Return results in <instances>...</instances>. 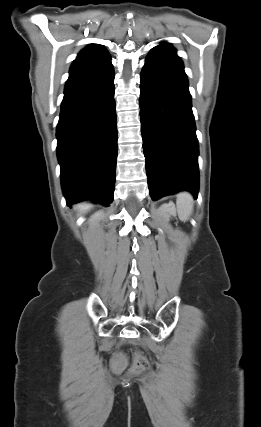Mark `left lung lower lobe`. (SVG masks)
<instances>
[{
    "instance_id": "obj_1",
    "label": "left lung lower lobe",
    "mask_w": 261,
    "mask_h": 427,
    "mask_svg": "<svg viewBox=\"0 0 261 427\" xmlns=\"http://www.w3.org/2000/svg\"><path fill=\"white\" fill-rule=\"evenodd\" d=\"M140 119L151 198L199 189L198 141L188 80L176 53L155 47L140 76Z\"/></svg>"
}]
</instances>
